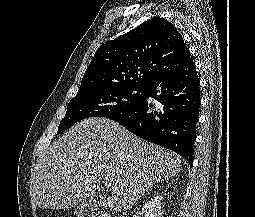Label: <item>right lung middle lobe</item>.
<instances>
[{
  "mask_svg": "<svg viewBox=\"0 0 255 217\" xmlns=\"http://www.w3.org/2000/svg\"><path fill=\"white\" fill-rule=\"evenodd\" d=\"M146 87L116 86L78 92L67 105L57 134H61L78 121L89 117H109L124 112L139 103Z\"/></svg>",
  "mask_w": 255,
  "mask_h": 217,
  "instance_id": "dd1d6c3e",
  "label": "right lung middle lobe"
}]
</instances>
